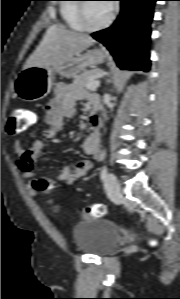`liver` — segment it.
<instances>
[{
    "label": "liver",
    "mask_w": 180,
    "mask_h": 299,
    "mask_svg": "<svg viewBox=\"0 0 180 299\" xmlns=\"http://www.w3.org/2000/svg\"><path fill=\"white\" fill-rule=\"evenodd\" d=\"M95 43L87 34L69 30L62 25H51L23 68L48 67L72 58Z\"/></svg>",
    "instance_id": "obj_1"
}]
</instances>
